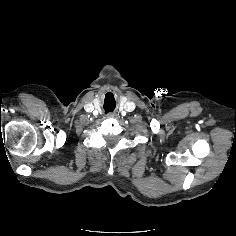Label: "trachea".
<instances>
[{
  "label": "trachea",
  "mask_w": 236,
  "mask_h": 236,
  "mask_svg": "<svg viewBox=\"0 0 236 236\" xmlns=\"http://www.w3.org/2000/svg\"><path fill=\"white\" fill-rule=\"evenodd\" d=\"M109 111H112L110 108H105V112L108 113Z\"/></svg>",
  "instance_id": "1"
}]
</instances>
